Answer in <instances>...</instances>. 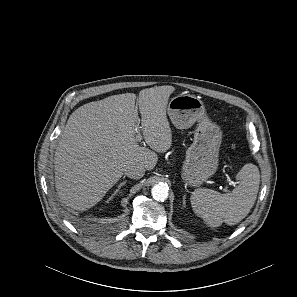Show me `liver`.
I'll list each match as a JSON object with an SVG mask.
<instances>
[{
    "label": "liver",
    "instance_id": "1",
    "mask_svg": "<svg viewBox=\"0 0 297 297\" xmlns=\"http://www.w3.org/2000/svg\"><path fill=\"white\" fill-rule=\"evenodd\" d=\"M174 91L164 85L139 92L140 127L134 93L113 95L75 110L55 151V186L61 202L87 210L119 181L127 166L152 170L157 153L172 144L166 108ZM137 129L150 149L139 146Z\"/></svg>",
    "mask_w": 297,
    "mask_h": 297
}]
</instances>
